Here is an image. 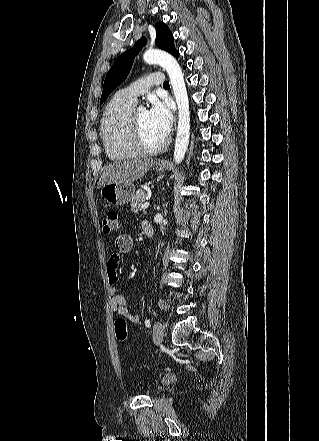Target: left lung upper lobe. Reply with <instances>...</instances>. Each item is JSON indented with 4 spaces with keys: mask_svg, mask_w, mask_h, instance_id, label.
<instances>
[{
    "mask_svg": "<svg viewBox=\"0 0 319 441\" xmlns=\"http://www.w3.org/2000/svg\"><path fill=\"white\" fill-rule=\"evenodd\" d=\"M156 40L155 44L159 49L165 50L175 56L179 57V52L174 47V38L168 26L163 22L155 24ZM146 44V38L141 37L130 50L122 53L114 62L109 72L106 75L103 92L100 100L102 104L109 94L118 87L127 77L130 72L135 56L139 53L142 47Z\"/></svg>",
    "mask_w": 319,
    "mask_h": 441,
    "instance_id": "left-lung-upper-lobe-1",
    "label": "left lung upper lobe"
}]
</instances>
